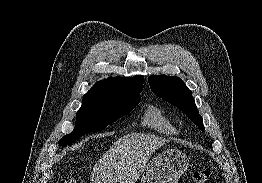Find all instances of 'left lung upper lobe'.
<instances>
[{"label":"left lung upper lobe","instance_id":"left-lung-upper-lobe-1","mask_svg":"<svg viewBox=\"0 0 262 183\" xmlns=\"http://www.w3.org/2000/svg\"><path fill=\"white\" fill-rule=\"evenodd\" d=\"M148 81L155 94L179 108L199 129L204 130L203 119L199 115L192 92L179 77L152 75Z\"/></svg>","mask_w":262,"mask_h":183}]
</instances>
